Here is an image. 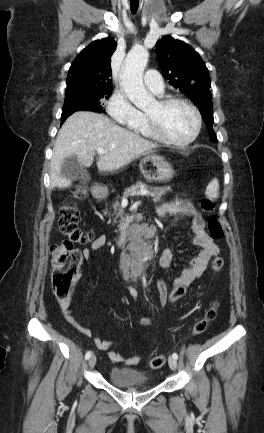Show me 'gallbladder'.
I'll list each match as a JSON object with an SVG mask.
<instances>
[{
  "label": "gallbladder",
  "instance_id": "gallbladder-1",
  "mask_svg": "<svg viewBox=\"0 0 264 433\" xmlns=\"http://www.w3.org/2000/svg\"><path fill=\"white\" fill-rule=\"evenodd\" d=\"M60 176L70 181L81 180L85 182L90 179L89 173L75 155L68 156L62 161Z\"/></svg>",
  "mask_w": 264,
  "mask_h": 433
}]
</instances>
